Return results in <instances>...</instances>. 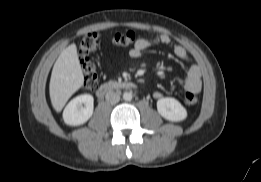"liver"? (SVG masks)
Returning <instances> with one entry per match:
<instances>
[{
	"label": "liver",
	"instance_id": "6515ba94",
	"mask_svg": "<svg viewBox=\"0 0 261 182\" xmlns=\"http://www.w3.org/2000/svg\"><path fill=\"white\" fill-rule=\"evenodd\" d=\"M84 75L75 44L65 48L57 58L51 74L49 92L53 108L60 112L69 98L83 86Z\"/></svg>",
	"mask_w": 261,
	"mask_h": 182
}]
</instances>
